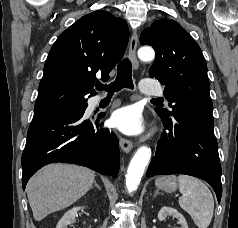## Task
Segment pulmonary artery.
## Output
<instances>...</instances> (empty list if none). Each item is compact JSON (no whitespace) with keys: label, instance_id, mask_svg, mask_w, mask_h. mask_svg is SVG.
<instances>
[{"label":"pulmonary artery","instance_id":"e3ab8cb5","mask_svg":"<svg viewBox=\"0 0 238 228\" xmlns=\"http://www.w3.org/2000/svg\"><path fill=\"white\" fill-rule=\"evenodd\" d=\"M141 91L145 95L156 96L162 94V88L157 84L154 79H144L140 85ZM99 97L98 100L102 99Z\"/></svg>","mask_w":238,"mask_h":228}]
</instances>
